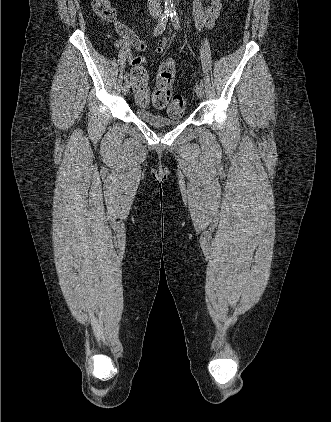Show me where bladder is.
<instances>
[{
	"label": "bladder",
	"mask_w": 331,
	"mask_h": 422,
	"mask_svg": "<svg viewBox=\"0 0 331 422\" xmlns=\"http://www.w3.org/2000/svg\"><path fill=\"white\" fill-rule=\"evenodd\" d=\"M135 114L140 120L156 128L176 126L183 121L182 115L170 117L144 108H136Z\"/></svg>",
	"instance_id": "31cf9c89"
}]
</instances>
